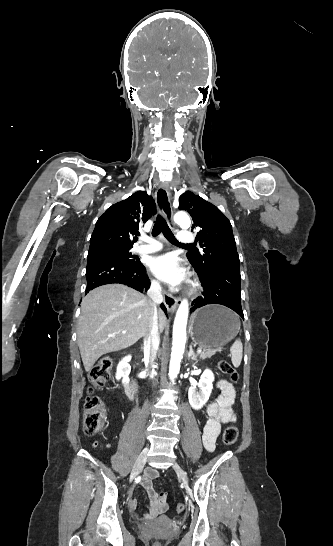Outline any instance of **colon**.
I'll return each mask as SVG.
<instances>
[{"instance_id":"5ec220e1","label":"colon","mask_w":333,"mask_h":546,"mask_svg":"<svg viewBox=\"0 0 333 546\" xmlns=\"http://www.w3.org/2000/svg\"><path fill=\"white\" fill-rule=\"evenodd\" d=\"M113 367V361L110 357L101 358L90 370L88 379L93 388H100L110 377ZM219 370L229 377L233 382L238 380V373L236 369L227 360H220L218 362ZM107 420L106 410L98 396L90 394L84 403L83 411V430L88 435H93L101 431ZM239 435L238 428L235 425L228 426L222 437V441L225 445L229 446L236 442ZM185 510L183 503L176 505V512L182 513ZM153 546H161L159 543L153 544Z\"/></svg>"}]
</instances>
